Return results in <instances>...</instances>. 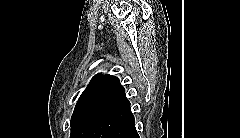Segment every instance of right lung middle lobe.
<instances>
[{
	"label": "right lung middle lobe",
	"mask_w": 240,
	"mask_h": 138,
	"mask_svg": "<svg viewBox=\"0 0 240 138\" xmlns=\"http://www.w3.org/2000/svg\"><path fill=\"white\" fill-rule=\"evenodd\" d=\"M107 117L108 115L99 113L72 116L70 138H86L87 135Z\"/></svg>",
	"instance_id": "right-lung-middle-lobe-1"
}]
</instances>
